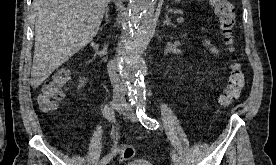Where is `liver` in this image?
I'll use <instances>...</instances> for the list:
<instances>
[{"label":"liver","instance_id":"6515ba94","mask_svg":"<svg viewBox=\"0 0 276 165\" xmlns=\"http://www.w3.org/2000/svg\"><path fill=\"white\" fill-rule=\"evenodd\" d=\"M110 0H34L31 85L40 86L97 35Z\"/></svg>","mask_w":276,"mask_h":165}]
</instances>
